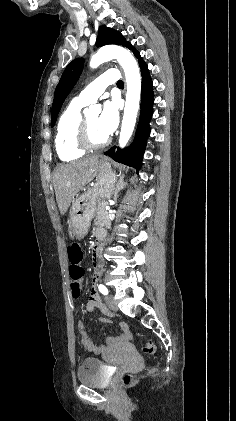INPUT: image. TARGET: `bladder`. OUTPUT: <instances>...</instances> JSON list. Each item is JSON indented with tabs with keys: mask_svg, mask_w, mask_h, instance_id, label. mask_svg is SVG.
Instances as JSON below:
<instances>
[{
	"mask_svg": "<svg viewBox=\"0 0 236 421\" xmlns=\"http://www.w3.org/2000/svg\"><path fill=\"white\" fill-rule=\"evenodd\" d=\"M101 365L102 361L97 358H85L76 371L77 382L95 388L109 386Z\"/></svg>",
	"mask_w": 236,
	"mask_h": 421,
	"instance_id": "31cf9c89",
	"label": "bladder"
}]
</instances>
